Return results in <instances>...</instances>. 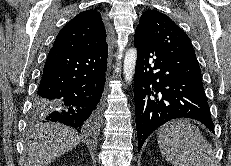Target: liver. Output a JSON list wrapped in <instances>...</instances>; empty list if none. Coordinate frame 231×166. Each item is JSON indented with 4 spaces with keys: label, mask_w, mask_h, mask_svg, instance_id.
Wrapping results in <instances>:
<instances>
[{
    "label": "liver",
    "mask_w": 231,
    "mask_h": 166,
    "mask_svg": "<svg viewBox=\"0 0 231 166\" xmlns=\"http://www.w3.org/2000/svg\"><path fill=\"white\" fill-rule=\"evenodd\" d=\"M81 139L71 127L59 123H46L25 139L28 166H48L62 154L72 150Z\"/></svg>",
    "instance_id": "liver-1"
}]
</instances>
